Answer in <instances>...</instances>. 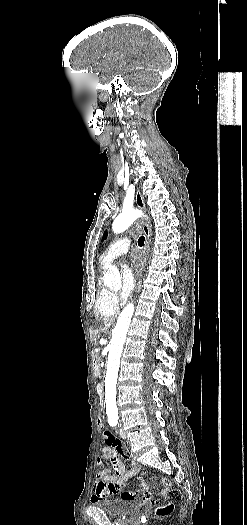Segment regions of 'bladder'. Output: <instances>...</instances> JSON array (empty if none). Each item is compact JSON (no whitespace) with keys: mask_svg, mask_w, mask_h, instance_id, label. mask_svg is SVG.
Returning <instances> with one entry per match:
<instances>
[{"mask_svg":"<svg viewBox=\"0 0 247 525\" xmlns=\"http://www.w3.org/2000/svg\"><path fill=\"white\" fill-rule=\"evenodd\" d=\"M92 505L108 517L123 518L138 512L143 506V499L132 501L126 498L93 502Z\"/></svg>","mask_w":247,"mask_h":525,"instance_id":"31cf9c89","label":"bladder"}]
</instances>
